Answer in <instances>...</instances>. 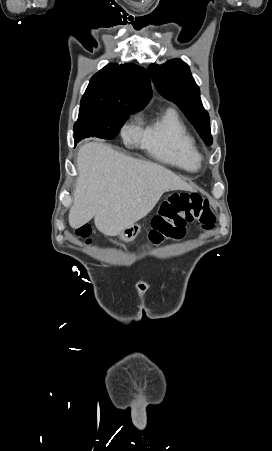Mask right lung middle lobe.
Returning a JSON list of instances; mask_svg holds the SVG:
<instances>
[{"label":"right lung middle lobe","mask_w":272,"mask_h":451,"mask_svg":"<svg viewBox=\"0 0 272 451\" xmlns=\"http://www.w3.org/2000/svg\"><path fill=\"white\" fill-rule=\"evenodd\" d=\"M141 108L80 107L74 125L75 144L86 137L113 139L129 114Z\"/></svg>","instance_id":"right-lung-middle-lobe-1"}]
</instances>
